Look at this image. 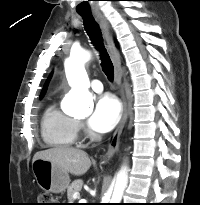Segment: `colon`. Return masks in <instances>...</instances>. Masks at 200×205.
Wrapping results in <instances>:
<instances>
[{
	"instance_id": "obj_1",
	"label": "colon",
	"mask_w": 200,
	"mask_h": 205,
	"mask_svg": "<svg viewBox=\"0 0 200 205\" xmlns=\"http://www.w3.org/2000/svg\"><path fill=\"white\" fill-rule=\"evenodd\" d=\"M37 205H53L52 196L49 193H41Z\"/></svg>"
}]
</instances>
